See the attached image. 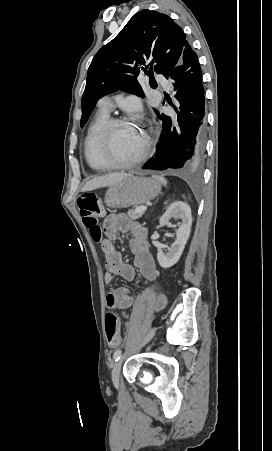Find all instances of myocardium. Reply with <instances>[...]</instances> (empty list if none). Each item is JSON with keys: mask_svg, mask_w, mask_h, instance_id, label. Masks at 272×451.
Masks as SVG:
<instances>
[{"mask_svg": "<svg viewBox=\"0 0 272 451\" xmlns=\"http://www.w3.org/2000/svg\"><path fill=\"white\" fill-rule=\"evenodd\" d=\"M130 123L127 118L124 117H112L104 123L102 130L98 137L99 151L102 163L105 168H120L121 165L113 161V146H112V129L118 124ZM145 143H138L131 152L129 158L126 161L133 162L140 157L145 150Z\"/></svg>", "mask_w": 272, "mask_h": 451, "instance_id": "1", "label": "myocardium"}]
</instances>
